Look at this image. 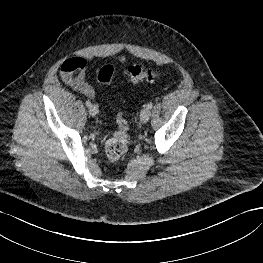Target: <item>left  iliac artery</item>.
<instances>
[{
  "mask_svg": "<svg viewBox=\"0 0 263 263\" xmlns=\"http://www.w3.org/2000/svg\"><path fill=\"white\" fill-rule=\"evenodd\" d=\"M152 107H153V103L152 102L148 103L147 108L151 109Z\"/></svg>",
  "mask_w": 263,
  "mask_h": 263,
  "instance_id": "left-iliac-artery-1",
  "label": "left iliac artery"
}]
</instances>
